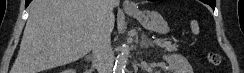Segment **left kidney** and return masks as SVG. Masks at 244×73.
<instances>
[{
  "mask_svg": "<svg viewBox=\"0 0 244 73\" xmlns=\"http://www.w3.org/2000/svg\"><path fill=\"white\" fill-rule=\"evenodd\" d=\"M163 59L166 60L173 73H193L192 66L188 60L180 54L165 55Z\"/></svg>",
  "mask_w": 244,
  "mask_h": 73,
  "instance_id": "obj_1",
  "label": "left kidney"
}]
</instances>
